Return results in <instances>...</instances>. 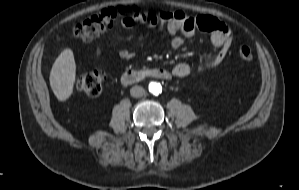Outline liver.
<instances>
[{"mask_svg": "<svg viewBox=\"0 0 299 190\" xmlns=\"http://www.w3.org/2000/svg\"><path fill=\"white\" fill-rule=\"evenodd\" d=\"M76 76V64L73 52L65 49L55 60L50 72V86L60 101L68 99L72 92Z\"/></svg>", "mask_w": 299, "mask_h": 190, "instance_id": "6515ba94", "label": "liver"}]
</instances>
